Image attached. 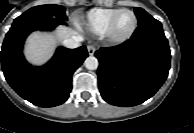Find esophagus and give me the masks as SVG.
I'll use <instances>...</instances> for the list:
<instances>
[{"label": "esophagus", "mask_w": 194, "mask_h": 133, "mask_svg": "<svg viewBox=\"0 0 194 133\" xmlns=\"http://www.w3.org/2000/svg\"><path fill=\"white\" fill-rule=\"evenodd\" d=\"M87 50H88V54L92 56L94 55L96 49L93 45H88Z\"/></svg>", "instance_id": "1"}]
</instances>
